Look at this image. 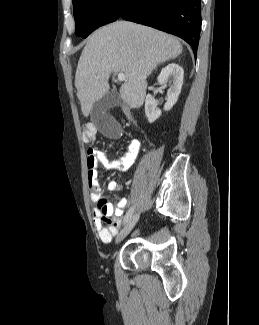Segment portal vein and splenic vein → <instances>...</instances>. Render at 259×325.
<instances>
[{
  "instance_id": "portal-vein-and-splenic-vein-1",
  "label": "portal vein and splenic vein",
  "mask_w": 259,
  "mask_h": 325,
  "mask_svg": "<svg viewBox=\"0 0 259 325\" xmlns=\"http://www.w3.org/2000/svg\"><path fill=\"white\" fill-rule=\"evenodd\" d=\"M125 78H126V77H125V74H124V73H119V74H118V80H119V81H124Z\"/></svg>"
}]
</instances>
